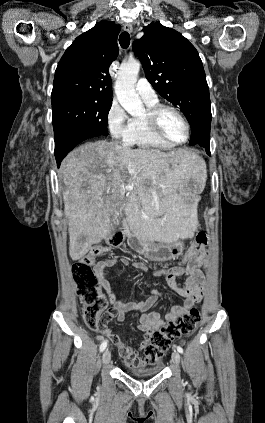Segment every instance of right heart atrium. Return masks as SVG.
Segmentation results:
<instances>
[{"mask_svg":"<svg viewBox=\"0 0 265 423\" xmlns=\"http://www.w3.org/2000/svg\"><path fill=\"white\" fill-rule=\"evenodd\" d=\"M106 122L112 138L124 141L130 118L125 109L116 100H113L109 106Z\"/></svg>","mask_w":265,"mask_h":423,"instance_id":"d8ad5b80","label":"right heart atrium"}]
</instances>
